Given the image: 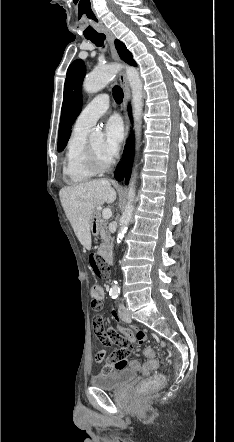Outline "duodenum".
Returning <instances> with one entry per match:
<instances>
[{
  "instance_id": "duodenum-1",
  "label": "duodenum",
  "mask_w": 234,
  "mask_h": 442,
  "mask_svg": "<svg viewBox=\"0 0 234 442\" xmlns=\"http://www.w3.org/2000/svg\"><path fill=\"white\" fill-rule=\"evenodd\" d=\"M98 229H99L98 225L95 224L94 227H93V231H94V233H97V232H98ZM100 256L102 257V259H103L108 265H110V264L112 263V261H113V258H112V254H111V252H110L108 249H106V248H102V249L100 250Z\"/></svg>"
}]
</instances>
